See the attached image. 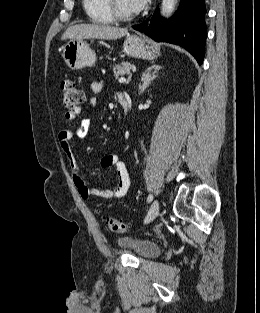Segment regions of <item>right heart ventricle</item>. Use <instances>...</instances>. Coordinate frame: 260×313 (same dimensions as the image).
<instances>
[{"instance_id":"obj_1","label":"right heart ventricle","mask_w":260,"mask_h":313,"mask_svg":"<svg viewBox=\"0 0 260 313\" xmlns=\"http://www.w3.org/2000/svg\"><path fill=\"white\" fill-rule=\"evenodd\" d=\"M83 8L91 21L100 24L113 22L106 0H82Z\"/></svg>"}]
</instances>
